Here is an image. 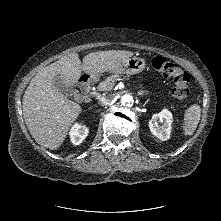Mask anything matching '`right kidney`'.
<instances>
[{
    "mask_svg": "<svg viewBox=\"0 0 221 221\" xmlns=\"http://www.w3.org/2000/svg\"><path fill=\"white\" fill-rule=\"evenodd\" d=\"M89 129L80 124H75L70 130V140L74 145H79L88 136Z\"/></svg>",
    "mask_w": 221,
    "mask_h": 221,
    "instance_id": "1",
    "label": "right kidney"
}]
</instances>
